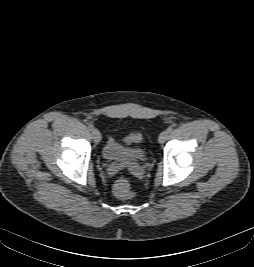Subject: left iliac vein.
<instances>
[{"instance_id":"obj_1","label":"left iliac vein","mask_w":254,"mask_h":267,"mask_svg":"<svg viewBox=\"0 0 254 267\" xmlns=\"http://www.w3.org/2000/svg\"><path fill=\"white\" fill-rule=\"evenodd\" d=\"M168 135H169V132L167 130L161 132L160 135L158 136L159 143H164L167 140Z\"/></svg>"}]
</instances>
